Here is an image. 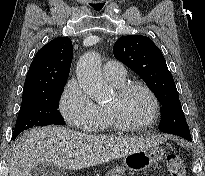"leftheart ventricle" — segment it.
<instances>
[{"label": "left heart ventricle", "instance_id": "1", "mask_svg": "<svg viewBox=\"0 0 205 176\" xmlns=\"http://www.w3.org/2000/svg\"><path fill=\"white\" fill-rule=\"evenodd\" d=\"M113 105H116L119 108L123 118L127 122L133 124L147 121L152 112L150 98L141 90H135L119 100L115 94L108 106Z\"/></svg>", "mask_w": 205, "mask_h": 176}]
</instances>
